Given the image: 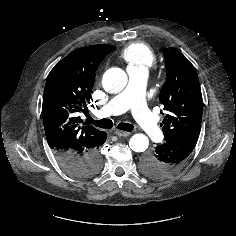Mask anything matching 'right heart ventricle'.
I'll list each match as a JSON object with an SVG mask.
<instances>
[{
	"label": "right heart ventricle",
	"mask_w": 236,
	"mask_h": 236,
	"mask_svg": "<svg viewBox=\"0 0 236 236\" xmlns=\"http://www.w3.org/2000/svg\"><path fill=\"white\" fill-rule=\"evenodd\" d=\"M121 57L127 63L128 68L148 70L156 63L155 53L147 44L142 42L126 46L121 52Z\"/></svg>",
	"instance_id": "1"
}]
</instances>
